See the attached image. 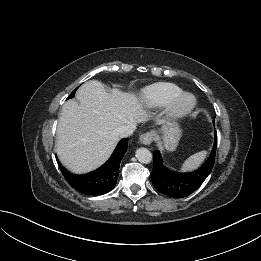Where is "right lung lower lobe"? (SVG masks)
<instances>
[{"instance_id": "1", "label": "right lung lower lobe", "mask_w": 261, "mask_h": 261, "mask_svg": "<svg viewBox=\"0 0 261 261\" xmlns=\"http://www.w3.org/2000/svg\"><path fill=\"white\" fill-rule=\"evenodd\" d=\"M128 139H122L109 160L97 170L88 174L69 173L57 159L66 181L77 191L85 195H101L111 191L116 185L121 159L127 151Z\"/></svg>"}]
</instances>
